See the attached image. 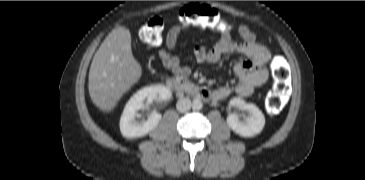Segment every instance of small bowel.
<instances>
[{
    "label": "small bowel",
    "mask_w": 365,
    "mask_h": 180,
    "mask_svg": "<svg viewBox=\"0 0 365 180\" xmlns=\"http://www.w3.org/2000/svg\"><path fill=\"white\" fill-rule=\"evenodd\" d=\"M184 30L182 25L172 26L165 36L164 45L158 49V55L164 67L176 75L187 77L191 74V69L182 65L179 58L172 54ZM238 33L242 42L232 41L229 30L226 29L213 45H197L192 50V56L199 63L217 62L229 55L238 57L233 65L238 84L233 88L221 86L216 89L213 94L215 100H222L232 92L241 97L251 96L268 79L267 64L271 59L269 50L257 42L255 34L248 26H239Z\"/></svg>",
    "instance_id": "obj_1"
}]
</instances>
